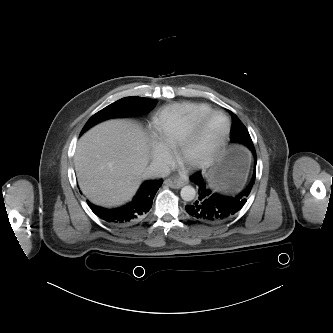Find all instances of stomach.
I'll use <instances>...</instances> for the list:
<instances>
[{
	"instance_id": "stomach-1",
	"label": "stomach",
	"mask_w": 333,
	"mask_h": 333,
	"mask_svg": "<svg viewBox=\"0 0 333 333\" xmlns=\"http://www.w3.org/2000/svg\"><path fill=\"white\" fill-rule=\"evenodd\" d=\"M249 163L250 155L247 151L239 147L228 149L210 171L208 178L210 186L225 193L237 192Z\"/></svg>"
}]
</instances>
